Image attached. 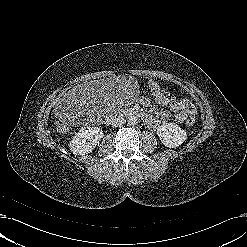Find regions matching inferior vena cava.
<instances>
[{"instance_id":"602c4592","label":"inferior vena cava","mask_w":247,"mask_h":247,"mask_svg":"<svg viewBox=\"0 0 247 247\" xmlns=\"http://www.w3.org/2000/svg\"><path fill=\"white\" fill-rule=\"evenodd\" d=\"M126 122V120L124 119V117L122 116H113L110 119V125L112 127H120L122 126L124 123Z\"/></svg>"}]
</instances>
